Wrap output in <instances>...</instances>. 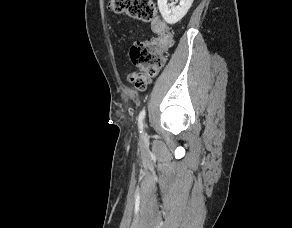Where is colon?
Masks as SVG:
<instances>
[{"label":"colon","instance_id":"1","mask_svg":"<svg viewBox=\"0 0 292 228\" xmlns=\"http://www.w3.org/2000/svg\"><path fill=\"white\" fill-rule=\"evenodd\" d=\"M109 9L115 14H124L129 18L152 22L159 37L135 42L130 49V57L138 72L130 77L136 89L146 88L150 78L156 76L165 62V51L171 43L166 26L155 19L156 9L151 0H110Z\"/></svg>","mask_w":292,"mask_h":228}]
</instances>
